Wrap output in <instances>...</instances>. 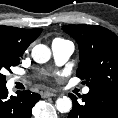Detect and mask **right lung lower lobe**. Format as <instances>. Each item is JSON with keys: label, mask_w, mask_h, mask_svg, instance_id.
I'll list each match as a JSON object with an SVG mask.
<instances>
[{"label": "right lung lower lobe", "mask_w": 118, "mask_h": 118, "mask_svg": "<svg viewBox=\"0 0 118 118\" xmlns=\"http://www.w3.org/2000/svg\"><path fill=\"white\" fill-rule=\"evenodd\" d=\"M40 98L39 94L30 91L10 96L6 86L0 87V118H30L32 108Z\"/></svg>", "instance_id": "obj_1"}]
</instances>
